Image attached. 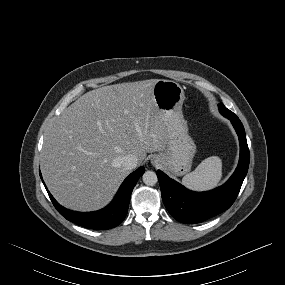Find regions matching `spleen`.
Masks as SVG:
<instances>
[{
	"label": "spleen",
	"instance_id": "spleen-1",
	"mask_svg": "<svg viewBox=\"0 0 285 285\" xmlns=\"http://www.w3.org/2000/svg\"><path fill=\"white\" fill-rule=\"evenodd\" d=\"M222 178V161L217 156L203 160L196 169L185 175L182 183L195 191H206L218 185Z\"/></svg>",
	"mask_w": 285,
	"mask_h": 285
}]
</instances>
